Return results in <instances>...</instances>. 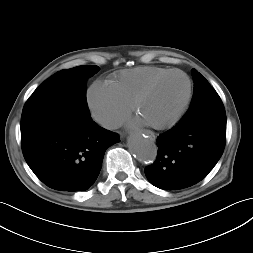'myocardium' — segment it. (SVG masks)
<instances>
[{"mask_svg":"<svg viewBox=\"0 0 253 253\" xmlns=\"http://www.w3.org/2000/svg\"><path fill=\"white\" fill-rule=\"evenodd\" d=\"M174 74H179L181 76H183L186 79L187 82V93L185 96V99L183 101V103L181 104L179 110L177 111V113L167 122L165 123H161V124H148L150 127L157 129V130H165V129H169L171 127H173L174 125H176L181 118L183 117V115L185 114L189 103L191 101L192 98V93H193V84H192V80L189 77V75L187 73H185L182 70L179 69H172L169 70L159 76H157L156 78H154L152 81H150L135 97L133 103H132V109L133 111L138 114L139 112V107L140 104L142 103V101L151 93V91L165 78L174 75Z\"/></svg>","mask_w":253,"mask_h":253,"instance_id":"f54148a6","label":"myocardium"}]
</instances>
